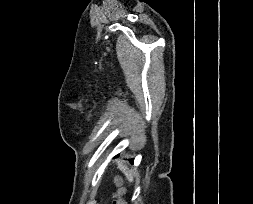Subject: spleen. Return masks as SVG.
Masks as SVG:
<instances>
[{
    "label": "spleen",
    "mask_w": 253,
    "mask_h": 204,
    "mask_svg": "<svg viewBox=\"0 0 253 204\" xmlns=\"http://www.w3.org/2000/svg\"><path fill=\"white\" fill-rule=\"evenodd\" d=\"M118 167L130 182L134 181V177L136 176V172L134 170L127 168L120 162H118Z\"/></svg>",
    "instance_id": "3e777b00"
}]
</instances>
